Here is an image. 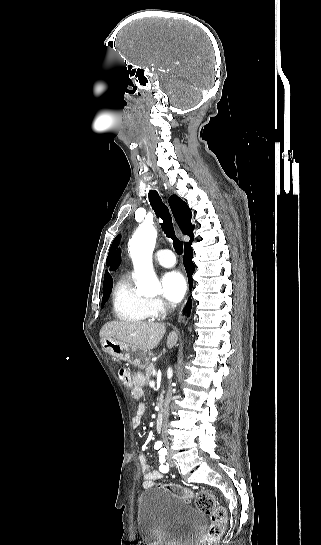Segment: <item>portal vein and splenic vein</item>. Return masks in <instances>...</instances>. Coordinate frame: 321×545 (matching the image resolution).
<instances>
[{"label": "portal vein and splenic vein", "instance_id": "portal-vein-and-splenic-vein-1", "mask_svg": "<svg viewBox=\"0 0 321 545\" xmlns=\"http://www.w3.org/2000/svg\"><path fill=\"white\" fill-rule=\"evenodd\" d=\"M153 376H156V370L155 368H152ZM150 387H154V383H150Z\"/></svg>", "mask_w": 321, "mask_h": 545}]
</instances>
